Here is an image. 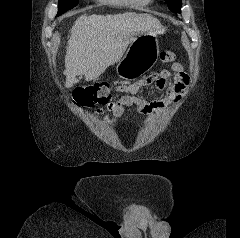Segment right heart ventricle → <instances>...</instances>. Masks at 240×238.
Masks as SVG:
<instances>
[{
	"mask_svg": "<svg viewBox=\"0 0 240 238\" xmlns=\"http://www.w3.org/2000/svg\"><path fill=\"white\" fill-rule=\"evenodd\" d=\"M97 1L117 8L140 7L146 5L145 0H134L133 4L128 3L126 0H97Z\"/></svg>",
	"mask_w": 240,
	"mask_h": 238,
	"instance_id": "right-heart-ventricle-1",
	"label": "right heart ventricle"
}]
</instances>
